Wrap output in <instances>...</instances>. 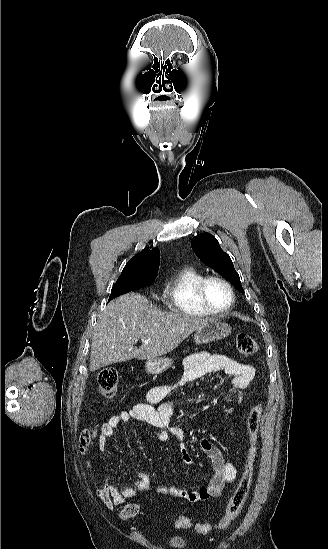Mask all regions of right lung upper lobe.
Returning a JSON list of instances; mask_svg holds the SVG:
<instances>
[{
	"label": "right lung upper lobe",
	"instance_id": "right-lung-upper-lobe-1",
	"mask_svg": "<svg viewBox=\"0 0 328 549\" xmlns=\"http://www.w3.org/2000/svg\"><path fill=\"white\" fill-rule=\"evenodd\" d=\"M159 262L160 251L158 248H153L152 250L144 249L128 261L122 272L149 264L159 266Z\"/></svg>",
	"mask_w": 328,
	"mask_h": 549
}]
</instances>
